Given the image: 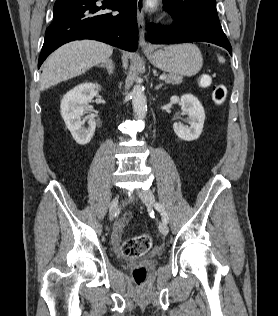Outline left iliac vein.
<instances>
[{"mask_svg": "<svg viewBox=\"0 0 278 316\" xmlns=\"http://www.w3.org/2000/svg\"><path fill=\"white\" fill-rule=\"evenodd\" d=\"M138 196L142 200V202L148 207L151 208L155 202L154 194L151 190H139ZM159 230L162 235H167L169 232V228L167 223L161 222L159 224Z\"/></svg>", "mask_w": 278, "mask_h": 316, "instance_id": "4c4485c4", "label": "left iliac vein"}]
</instances>
